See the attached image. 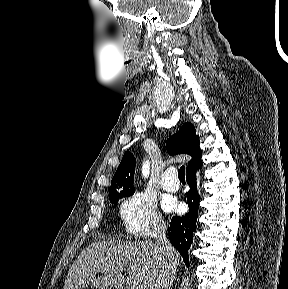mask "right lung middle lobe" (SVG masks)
Here are the masks:
<instances>
[{
    "instance_id": "obj_1",
    "label": "right lung middle lobe",
    "mask_w": 288,
    "mask_h": 289,
    "mask_svg": "<svg viewBox=\"0 0 288 289\" xmlns=\"http://www.w3.org/2000/svg\"><path fill=\"white\" fill-rule=\"evenodd\" d=\"M135 192V189L125 191H111L109 192L110 201L117 204L120 198L131 196Z\"/></svg>"
}]
</instances>
